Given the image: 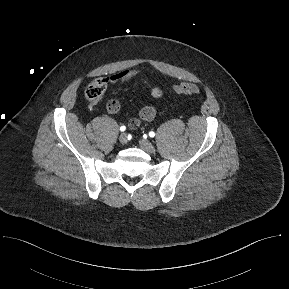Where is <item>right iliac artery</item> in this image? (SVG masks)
<instances>
[{
    "label": "right iliac artery",
    "mask_w": 289,
    "mask_h": 289,
    "mask_svg": "<svg viewBox=\"0 0 289 289\" xmlns=\"http://www.w3.org/2000/svg\"><path fill=\"white\" fill-rule=\"evenodd\" d=\"M125 130H126V127H125V126H121V127H120V131L123 132V131H125Z\"/></svg>",
    "instance_id": "right-iliac-artery-1"
}]
</instances>
